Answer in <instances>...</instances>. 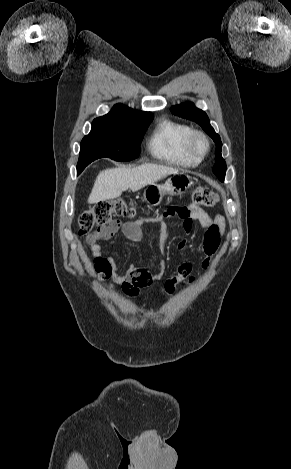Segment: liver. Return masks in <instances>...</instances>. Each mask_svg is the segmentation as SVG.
<instances>
[{
	"label": "liver",
	"instance_id": "1",
	"mask_svg": "<svg viewBox=\"0 0 291 469\" xmlns=\"http://www.w3.org/2000/svg\"><path fill=\"white\" fill-rule=\"evenodd\" d=\"M178 169L156 165L143 164L134 168L119 167L101 171L92 188L88 202L98 203L109 199L118 198L127 189L138 191L148 184H152L161 178L175 174Z\"/></svg>",
	"mask_w": 291,
	"mask_h": 469
}]
</instances>
